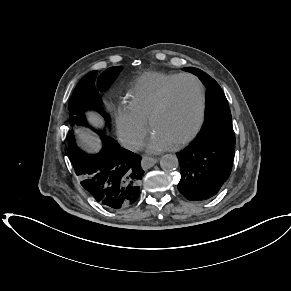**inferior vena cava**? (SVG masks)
<instances>
[{
    "instance_id": "obj_1",
    "label": "inferior vena cava",
    "mask_w": 291,
    "mask_h": 291,
    "mask_svg": "<svg viewBox=\"0 0 291 291\" xmlns=\"http://www.w3.org/2000/svg\"><path fill=\"white\" fill-rule=\"evenodd\" d=\"M122 145L131 151H139L144 148V142L140 137L127 138L122 141Z\"/></svg>"
}]
</instances>
